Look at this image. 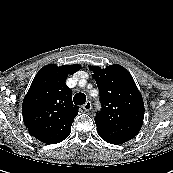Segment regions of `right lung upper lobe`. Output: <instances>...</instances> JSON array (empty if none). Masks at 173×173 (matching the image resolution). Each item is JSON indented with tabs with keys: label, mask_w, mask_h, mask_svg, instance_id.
Instances as JSON below:
<instances>
[{
	"label": "right lung upper lobe",
	"mask_w": 173,
	"mask_h": 173,
	"mask_svg": "<svg viewBox=\"0 0 173 173\" xmlns=\"http://www.w3.org/2000/svg\"><path fill=\"white\" fill-rule=\"evenodd\" d=\"M80 68L48 64L36 74L23 100L22 114L29 133L41 142L56 144L69 136L79 107L73 105L65 82Z\"/></svg>",
	"instance_id": "right-lung-upper-lobe-1"
}]
</instances>
